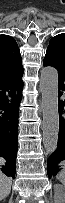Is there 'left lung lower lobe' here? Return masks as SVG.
Returning <instances> with one entry per match:
<instances>
[{"mask_svg": "<svg viewBox=\"0 0 65 203\" xmlns=\"http://www.w3.org/2000/svg\"><path fill=\"white\" fill-rule=\"evenodd\" d=\"M43 64L53 66L58 71V111H59V135L56 151L50 156L47 162L48 177L56 175L61 170H65V63L61 57L53 51H47Z\"/></svg>", "mask_w": 65, "mask_h": 203, "instance_id": "obj_1", "label": "left lung lower lobe"}]
</instances>
